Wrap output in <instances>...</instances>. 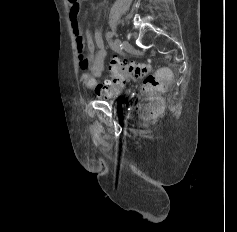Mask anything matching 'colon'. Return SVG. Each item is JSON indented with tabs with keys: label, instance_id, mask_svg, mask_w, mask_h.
Instances as JSON below:
<instances>
[{
	"label": "colon",
	"instance_id": "1",
	"mask_svg": "<svg viewBox=\"0 0 237 232\" xmlns=\"http://www.w3.org/2000/svg\"><path fill=\"white\" fill-rule=\"evenodd\" d=\"M108 68L112 78L104 85L101 84L108 89L121 90L126 85L130 75L143 78L138 112L144 122L153 121L163 109L159 95L164 92L171 80V72L164 68L151 73L148 63L128 62L116 56L112 58ZM84 81L89 85L92 77L84 75Z\"/></svg>",
	"mask_w": 237,
	"mask_h": 232
}]
</instances>
